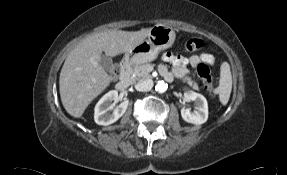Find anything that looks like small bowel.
<instances>
[{
  "mask_svg": "<svg viewBox=\"0 0 287 175\" xmlns=\"http://www.w3.org/2000/svg\"><path fill=\"white\" fill-rule=\"evenodd\" d=\"M163 60L172 65V71H169L165 66L159 67V72L167 80L171 81L173 76L183 77L187 74V66L190 64L196 67L201 62H206L211 65L215 63V58L209 53H202L186 58L180 55H175L171 52H166L162 56Z\"/></svg>",
  "mask_w": 287,
  "mask_h": 175,
  "instance_id": "small-bowel-1",
  "label": "small bowel"
}]
</instances>
